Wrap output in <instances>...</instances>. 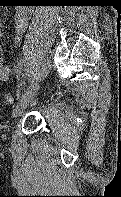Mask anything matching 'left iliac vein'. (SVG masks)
I'll list each match as a JSON object with an SVG mask.
<instances>
[{
    "instance_id": "1",
    "label": "left iliac vein",
    "mask_w": 121,
    "mask_h": 197,
    "mask_svg": "<svg viewBox=\"0 0 121 197\" xmlns=\"http://www.w3.org/2000/svg\"><path fill=\"white\" fill-rule=\"evenodd\" d=\"M39 89V83H32L22 94L20 100L13 110V117L20 116L27 106L32 102Z\"/></svg>"
}]
</instances>
